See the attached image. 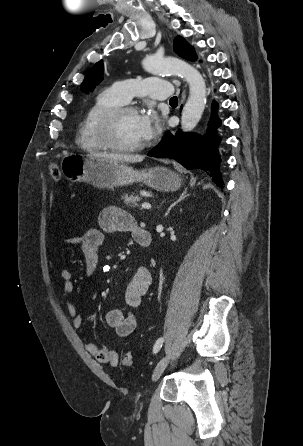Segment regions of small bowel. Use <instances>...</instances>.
I'll return each mask as SVG.
<instances>
[{
  "instance_id": "c3829d8e",
  "label": "small bowel",
  "mask_w": 303,
  "mask_h": 446,
  "mask_svg": "<svg viewBox=\"0 0 303 446\" xmlns=\"http://www.w3.org/2000/svg\"><path fill=\"white\" fill-rule=\"evenodd\" d=\"M99 228H89L79 235L69 236L64 239V246L80 245L84 262L86 276H92L98 269L100 263L99 250L104 243L105 234L115 232H129L133 239L141 231L134 218L125 210L110 206L102 210L98 217ZM60 277L64 281V296L67 298V310L72 318L74 328H80L83 318L78 312L71 296L75 284L71 272L67 268L60 269ZM152 283V275L147 267L140 266L129 282L124 301L127 311L124 309H112L105 315V321L109 327L115 330L117 336L124 338L129 336L136 328L137 320L134 310L141 304L143 296ZM86 351L101 363L112 366L118 364V354L110 347H99L93 342H87Z\"/></svg>"
}]
</instances>
